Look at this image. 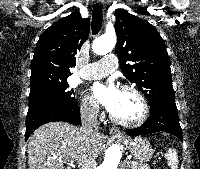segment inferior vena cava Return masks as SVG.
<instances>
[{
	"label": "inferior vena cava",
	"instance_id": "inferior-vena-cava-1",
	"mask_svg": "<svg viewBox=\"0 0 200 169\" xmlns=\"http://www.w3.org/2000/svg\"><path fill=\"white\" fill-rule=\"evenodd\" d=\"M97 115H98V107L95 104L84 108L81 113V119H82L81 132L87 147L90 146L91 138L95 135H98L99 133L98 132L99 122ZM95 165H96L95 159L87 157L83 161L81 169H93Z\"/></svg>",
	"mask_w": 200,
	"mask_h": 169
}]
</instances>
